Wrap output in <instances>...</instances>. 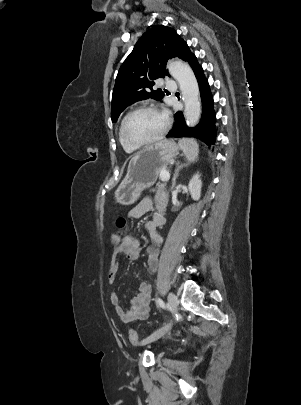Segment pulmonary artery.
<instances>
[{
	"mask_svg": "<svg viewBox=\"0 0 301 405\" xmlns=\"http://www.w3.org/2000/svg\"><path fill=\"white\" fill-rule=\"evenodd\" d=\"M165 86L169 90H175L176 89V83L173 80H166Z\"/></svg>",
	"mask_w": 301,
	"mask_h": 405,
	"instance_id": "e3ab8cb5",
	"label": "pulmonary artery"
}]
</instances>
